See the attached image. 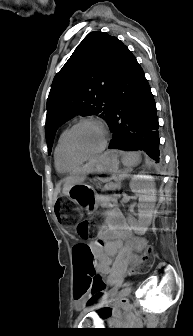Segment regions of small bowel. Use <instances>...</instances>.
<instances>
[{
	"label": "small bowel",
	"mask_w": 193,
	"mask_h": 336,
	"mask_svg": "<svg viewBox=\"0 0 193 336\" xmlns=\"http://www.w3.org/2000/svg\"><path fill=\"white\" fill-rule=\"evenodd\" d=\"M130 234V227L122 215L117 211H112L108 224L102 227L96 238L87 245L92 255L95 270L106 276L107 282L111 284L118 280L125 262L123 258H120L112 265L111 258L121 251L124 241ZM94 293L92 284H87L85 294L94 296Z\"/></svg>",
	"instance_id": "c3829d8e"
}]
</instances>
